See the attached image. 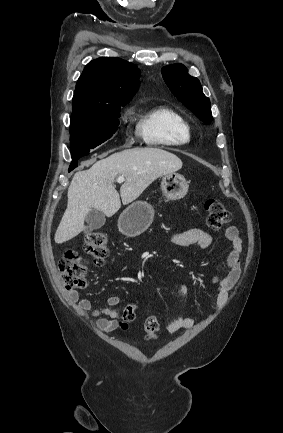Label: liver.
I'll list each match as a JSON object with an SVG mask.
<instances>
[{
	"instance_id": "obj_1",
	"label": "liver",
	"mask_w": 283,
	"mask_h": 433,
	"mask_svg": "<svg viewBox=\"0 0 283 433\" xmlns=\"http://www.w3.org/2000/svg\"><path fill=\"white\" fill-rule=\"evenodd\" d=\"M182 160L162 148H126L97 160L88 170L75 172L68 188V204L55 233V243L70 241L84 231V221L91 208L112 217L123 204H129L162 174L179 170ZM125 176L117 192L113 182Z\"/></svg>"
}]
</instances>
